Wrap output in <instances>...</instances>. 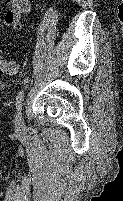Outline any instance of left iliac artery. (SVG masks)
Instances as JSON below:
<instances>
[{"mask_svg":"<svg viewBox=\"0 0 123 201\" xmlns=\"http://www.w3.org/2000/svg\"><path fill=\"white\" fill-rule=\"evenodd\" d=\"M23 100H24V89H21L16 96V108L18 110H21Z\"/></svg>","mask_w":123,"mask_h":201,"instance_id":"44dca946","label":"left iliac artery"}]
</instances>
